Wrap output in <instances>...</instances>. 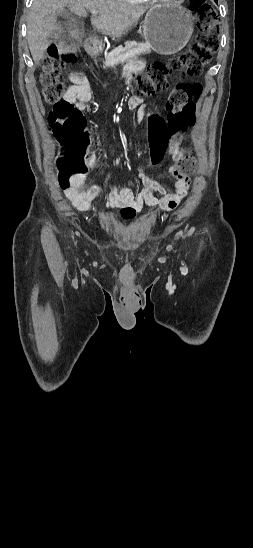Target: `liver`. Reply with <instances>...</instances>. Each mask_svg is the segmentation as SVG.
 I'll return each instance as SVG.
<instances>
[{
    "instance_id": "6515ba94",
    "label": "liver",
    "mask_w": 253,
    "mask_h": 548,
    "mask_svg": "<svg viewBox=\"0 0 253 548\" xmlns=\"http://www.w3.org/2000/svg\"><path fill=\"white\" fill-rule=\"evenodd\" d=\"M65 7L79 17H86L87 10L98 11V16L91 17L93 28L112 38L122 37L147 11V7L115 0H33L27 19V42L35 63L43 58L54 32L62 31L57 16Z\"/></svg>"
}]
</instances>
